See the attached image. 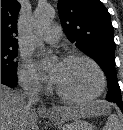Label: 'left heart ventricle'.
<instances>
[{"instance_id":"obj_1","label":"left heart ventricle","mask_w":123,"mask_h":130,"mask_svg":"<svg viewBox=\"0 0 123 130\" xmlns=\"http://www.w3.org/2000/svg\"><path fill=\"white\" fill-rule=\"evenodd\" d=\"M51 72L55 85L67 95L87 97L94 94L99 88L98 73L86 61H59L53 65Z\"/></svg>"}]
</instances>
